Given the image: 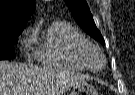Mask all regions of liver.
<instances>
[{"mask_svg":"<svg viewBox=\"0 0 135 95\" xmlns=\"http://www.w3.org/2000/svg\"><path fill=\"white\" fill-rule=\"evenodd\" d=\"M87 80L73 72L0 61V95H61Z\"/></svg>","mask_w":135,"mask_h":95,"instance_id":"6515ba94","label":"liver"}]
</instances>
